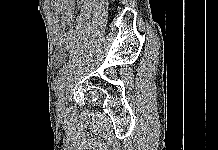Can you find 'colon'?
Here are the masks:
<instances>
[{"label":"colon","instance_id":"1","mask_svg":"<svg viewBox=\"0 0 218 150\" xmlns=\"http://www.w3.org/2000/svg\"><path fill=\"white\" fill-rule=\"evenodd\" d=\"M77 3V0H53V10L71 15Z\"/></svg>","mask_w":218,"mask_h":150}]
</instances>
